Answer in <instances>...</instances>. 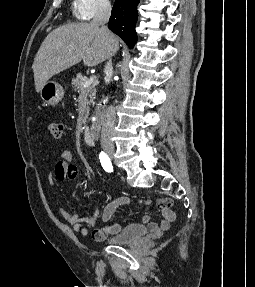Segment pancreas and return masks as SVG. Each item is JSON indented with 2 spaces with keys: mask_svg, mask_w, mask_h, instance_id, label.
I'll use <instances>...</instances> for the list:
<instances>
[{
  "mask_svg": "<svg viewBox=\"0 0 255 287\" xmlns=\"http://www.w3.org/2000/svg\"><path fill=\"white\" fill-rule=\"evenodd\" d=\"M85 82H89V78L82 76V74H77L76 78H72V88H74L75 92L76 90H78V92H86L90 98L88 104H92V102H94V96H96V86H93L92 84V86H89V88H84L83 84H85ZM89 112L90 108H87L83 124L87 122Z\"/></svg>",
  "mask_w": 255,
  "mask_h": 287,
  "instance_id": "1",
  "label": "pancreas"
}]
</instances>
